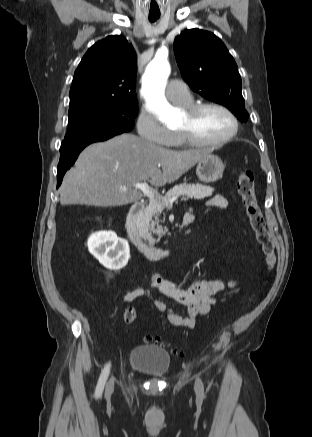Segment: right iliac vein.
Here are the masks:
<instances>
[{
  "instance_id": "63e3f726",
  "label": "right iliac vein",
  "mask_w": 312,
  "mask_h": 437,
  "mask_svg": "<svg viewBox=\"0 0 312 437\" xmlns=\"http://www.w3.org/2000/svg\"><path fill=\"white\" fill-rule=\"evenodd\" d=\"M114 389V380L111 379L106 386V396H109Z\"/></svg>"
}]
</instances>
